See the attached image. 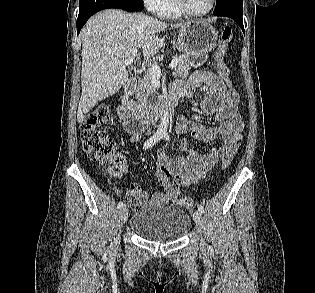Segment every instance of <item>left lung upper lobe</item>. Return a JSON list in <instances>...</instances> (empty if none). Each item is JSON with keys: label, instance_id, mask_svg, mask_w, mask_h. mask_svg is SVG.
Listing matches in <instances>:
<instances>
[{"label": "left lung upper lobe", "instance_id": "obj_1", "mask_svg": "<svg viewBox=\"0 0 315 293\" xmlns=\"http://www.w3.org/2000/svg\"><path fill=\"white\" fill-rule=\"evenodd\" d=\"M224 12L243 13V1L242 0H216V8L213 14L218 15Z\"/></svg>", "mask_w": 315, "mask_h": 293}]
</instances>
